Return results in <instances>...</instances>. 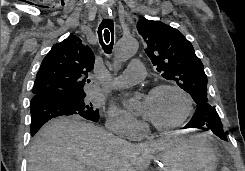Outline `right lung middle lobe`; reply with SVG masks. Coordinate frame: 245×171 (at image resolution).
Listing matches in <instances>:
<instances>
[{
  "label": "right lung middle lobe",
  "instance_id": "obj_1",
  "mask_svg": "<svg viewBox=\"0 0 245 171\" xmlns=\"http://www.w3.org/2000/svg\"><path fill=\"white\" fill-rule=\"evenodd\" d=\"M86 94L78 96H67V95H58L55 98L59 99L61 102L71 106L76 111L80 112L83 116L89 118H99V110L94 109L92 104H86L84 102Z\"/></svg>",
  "mask_w": 245,
  "mask_h": 171
}]
</instances>
